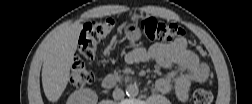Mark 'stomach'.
Here are the masks:
<instances>
[{"label":"stomach","instance_id":"1","mask_svg":"<svg viewBox=\"0 0 252 104\" xmlns=\"http://www.w3.org/2000/svg\"><path fill=\"white\" fill-rule=\"evenodd\" d=\"M125 36L131 43H136L141 38V31L137 22H130L123 27Z\"/></svg>","mask_w":252,"mask_h":104}]
</instances>
